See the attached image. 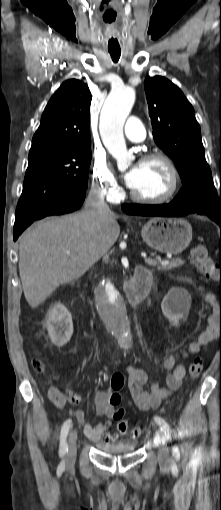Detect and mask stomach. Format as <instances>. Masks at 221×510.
Here are the masks:
<instances>
[{"label": "stomach", "mask_w": 221, "mask_h": 510, "mask_svg": "<svg viewBox=\"0 0 221 510\" xmlns=\"http://www.w3.org/2000/svg\"><path fill=\"white\" fill-rule=\"evenodd\" d=\"M145 243L159 252L179 254L192 240V227L180 218H153L142 228Z\"/></svg>", "instance_id": "0dacf381"}]
</instances>
